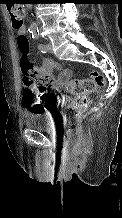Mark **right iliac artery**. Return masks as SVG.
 Instances as JSON below:
<instances>
[{
    "mask_svg": "<svg viewBox=\"0 0 122 218\" xmlns=\"http://www.w3.org/2000/svg\"><path fill=\"white\" fill-rule=\"evenodd\" d=\"M34 32V30H31L30 33Z\"/></svg>",
    "mask_w": 122,
    "mask_h": 218,
    "instance_id": "82829eb1",
    "label": "right iliac artery"
}]
</instances>
